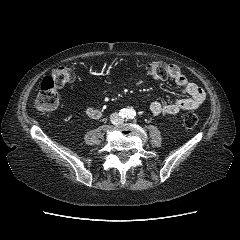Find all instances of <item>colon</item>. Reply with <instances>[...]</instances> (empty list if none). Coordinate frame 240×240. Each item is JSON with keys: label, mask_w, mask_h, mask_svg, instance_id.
Wrapping results in <instances>:
<instances>
[{"label": "colon", "mask_w": 240, "mask_h": 240, "mask_svg": "<svg viewBox=\"0 0 240 240\" xmlns=\"http://www.w3.org/2000/svg\"><path fill=\"white\" fill-rule=\"evenodd\" d=\"M145 71L155 79L168 77L169 65L163 61H153L144 65ZM76 78L75 71L68 66L56 67L49 76H46L40 85L34 107L40 113L55 109L59 102L58 89L71 84ZM198 115L190 112L183 117V125L193 128L198 123Z\"/></svg>", "instance_id": "obj_1"}]
</instances>
